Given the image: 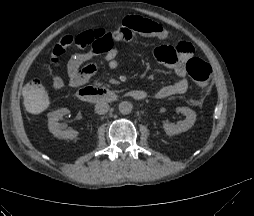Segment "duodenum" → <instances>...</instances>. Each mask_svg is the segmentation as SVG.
Instances as JSON below:
<instances>
[{
	"mask_svg": "<svg viewBox=\"0 0 254 216\" xmlns=\"http://www.w3.org/2000/svg\"><path fill=\"white\" fill-rule=\"evenodd\" d=\"M127 95L134 99H143V95L136 90L128 92ZM77 97L85 102H113L118 98V94L105 87H84L78 90Z\"/></svg>",
	"mask_w": 254,
	"mask_h": 216,
	"instance_id": "duodenum-1",
	"label": "duodenum"
}]
</instances>
